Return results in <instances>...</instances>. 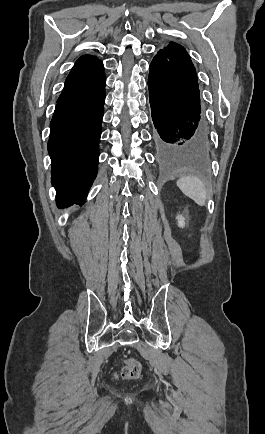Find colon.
I'll use <instances>...</instances> for the list:
<instances>
[{
    "mask_svg": "<svg viewBox=\"0 0 265 434\" xmlns=\"http://www.w3.org/2000/svg\"><path fill=\"white\" fill-rule=\"evenodd\" d=\"M141 375V365L137 360L130 359L122 367L119 377L122 380H135Z\"/></svg>",
    "mask_w": 265,
    "mask_h": 434,
    "instance_id": "obj_1",
    "label": "colon"
}]
</instances>
